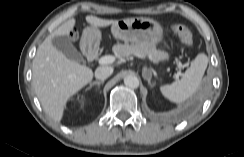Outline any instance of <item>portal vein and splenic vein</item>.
I'll return each instance as SVG.
<instances>
[{
    "mask_svg": "<svg viewBox=\"0 0 244 157\" xmlns=\"http://www.w3.org/2000/svg\"><path fill=\"white\" fill-rule=\"evenodd\" d=\"M136 56H138L140 58H143V56H139V55H136ZM114 61H115V57L114 56L106 55V56H102L98 60V63L100 65H107V64H112ZM187 65H189V64H187ZM178 67L181 69V68H184V65H182L181 62H178ZM180 75H181V73L178 72L177 75H176V78L178 79Z\"/></svg>",
    "mask_w": 244,
    "mask_h": 157,
    "instance_id": "18ae733b",
    "label": "portal vein and splenic vein"
}]
</instances>
